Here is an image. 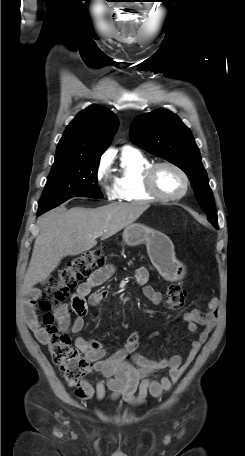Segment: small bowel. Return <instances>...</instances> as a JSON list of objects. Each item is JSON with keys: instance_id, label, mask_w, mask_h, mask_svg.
<instances>
[{"instance_id": "obj_1", "label": "small bowel", "mask_w": 245, "mask_h": 456, "mask_svg": "<svg viewBox=\"0 0 245 456\" xmlns=\"http://www.w3.org/2000/svg\"><path fill=\"white\" fill-rule=\"evenodd\" d=\"M114 271L115 267L111 264L100 267L78 286L71 301L72 310L76 314L74 320L70 321L69 311L65 305L61 309L60 325L64 331L77 334L82 330L88 305L98 306L108 297L107 290L93 291V289L107 281ZM148 279V270L144 267L139 268L135 280L137 284L143 286V296L158 305L163 300V294L151 285H147ZM39 294L38 289H33L29 293L25 301L23 317L37 340L42 344H47L49 335L40 325L35 312V303ZM218 315L219 300L216 297L209 300L206 311L195 309L184 313L183 319L190 332H197L199 326L203 327L198 339L191 342V349L185 358L176 354L169 358L154 360L137 354L139 334L136 331L127 336L121 349L109 356H106V350L101 342L78 336L75 339L76 347L84 353L89 362L93 363L94 369L102 374L103 379L96 380L95 384L88 381L81 382L76 390V395L83 400L93 397L103 400L107 391H110V399L115 400L121 397L132 405L142 404L149 395L155 398L162 397L171 390L194 361L214 329ZM164 369L168 370V376H164L160 380L151 378L153 373Z\"/></svg>"}]
</instances>
